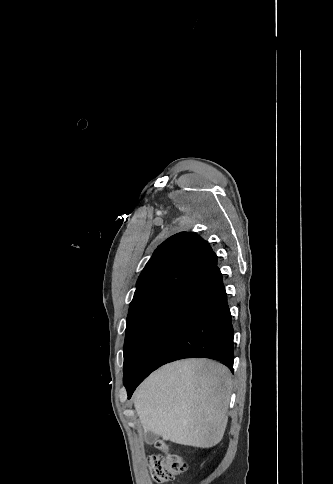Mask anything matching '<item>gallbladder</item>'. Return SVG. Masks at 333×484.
Instances as JSON below:
<instances>
[{"label":"gallbladder","instance_id":"1","mask_svg":"<svg viewBox=\"0 0 333 484\" xmlns=\"http://www.w3.org/2000/svg\"><path fill=\"white\" fill-rule=\"evenodd\" d=\"M145 440L149 444L155 443L156 440H157V435L155 433L148 432L146 437H145Z\"/></svg>","mask_w":333,"mask_h":484}]
</instances>
